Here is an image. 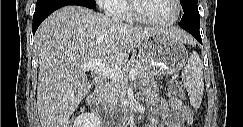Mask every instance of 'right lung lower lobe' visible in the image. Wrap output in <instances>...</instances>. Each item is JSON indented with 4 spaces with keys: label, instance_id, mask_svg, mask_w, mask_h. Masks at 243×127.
Instances as JSON below:
<instances>
[{
    "label": "right lung lower lobe",
    "instance_id": "1",
    "mask_svg": "<svg viewBox=\"0 0 243 127\" xmlns=\"http://www.w3.org/2000/svg\"><path fill=\"white\" fill-rule=\"evenodd\" d=\"M68 5H78L93 8L86 0H38L33 16V34H35L38 26L48 15L55 10Z\"/></svg>",
    "mask_w": 243,
    "mask_h": 127
}]
</instances>
